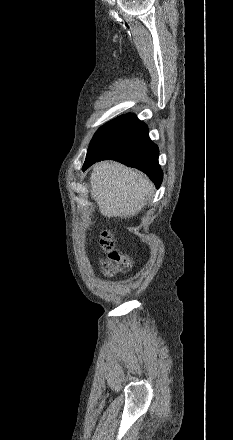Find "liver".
I'll use <instances>...</instances> for the list:
<instances>
[{
  "mask_svg": "<svg viewBox=\"0 0 233 440\" xmlns=\"http://www.w3.org/2000/svg\"><path fill=\"white\" fill-rule=\"evenodd\" d=\"M91 197L104 217H133L150 200L153 183L141 172L120 163L101 161L90 176Z\"/></svg>",
  "mask_w": 233,
  "mask_h": 440,
  "instance_id": "6515ba94",
  "label": "liver"
}]
</instances>
